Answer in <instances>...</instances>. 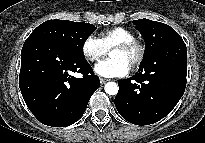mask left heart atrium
Here are the masks:
<instances>
[{
    "instance_id": "left-heart-atrium-1",
    "label": "left heart atrium",
    "mask_w": 205,
    "mask_h": 143,
    "mask_svg": "<svg viewBox=\"0 0 205 143\" xmlns=\"http://www.w3.org/2000/svg\"><path fill=\"white\" fill-rule=\"evenodd\" d=\"M94 70L102 77L114 78L128 74L130 66L120 59L110 58L99 62Z\"/></svg>"
}]
</instances>
